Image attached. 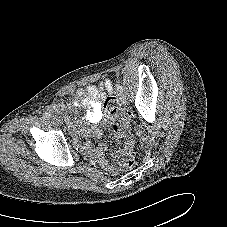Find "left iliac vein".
I'll list each match as a JSON object with an SVG mask.
<instances>
[{
    "mask_svg": "<svg viewBox=\"0 0 227 227\" xmlns=\"http://www.w3.org/2000/svg\"><path fill=\"white\" fill-rule=\"evenodd\" d=\"M118 95H119V98H120L121 102H122L123 104H125V103H126V97H125L122 93H120V94H118Z\"/></svg>",
    "mask_w": 227,
    "mask_h": 227,
    "instance_id": "obj_1",
    "label": "left iliac vein"
}]
</instances>
